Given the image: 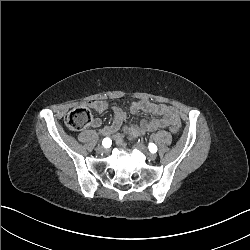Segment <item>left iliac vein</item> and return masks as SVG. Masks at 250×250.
<instances>
[{"label": "left iliac vein", "mask_w": 250, "mask_h": 250, "mask_svg": "<svg viewBox=\"0 0 250 250\" xmlns=\"http://www.w3.org/2000/svg\"><path fill=\"white\" fill-rule=\"evenodd\" d=\"M135 146L137 147V149H139L143 154H145V156L149 159V160H155L156 159V155L153 154V153H150L146 146L143 145L142 143L140 142H136L135 143Z\"/></svg>", "instance_id": "left-iliac-vein-1"}]
</instances>
